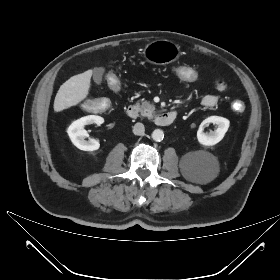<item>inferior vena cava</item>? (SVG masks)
<instances>
[{"instance_id": "602c4592", "label": "inferior vena cava", "mask_w": 280, "mask_h": 280, "mask_svg": "<svg viewBox=\"0 0 280 280\" xmlns=\"http://www.w3.org/2000/svg\"><path fill=\"white\" fill-rule=\"evenodd\" d=\"M145 132V127L142 123H136L134 126H133V133L135 135H143Z\"/></svg>"}]
</instances>
